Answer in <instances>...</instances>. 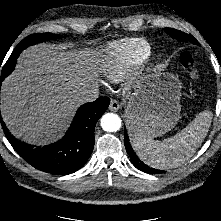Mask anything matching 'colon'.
I'll use <instances>...</instances> for the list:
<instances>
[{"label": "colon", "instance_id": "1", "mask_svg": "<svg viewBox=\"0 0 221 221\" xmlns=\"http://www.w3.org/2000/svg\"><path fill=\"white\" fill-rule=\"evenodd\" d=\"M180 62L182 67L188 72L191 79L196 80L199 78V70L194 56L189 52H183L180 55Z\"/></svg>", "mask_w": 221, "mask_h": 221}]
</instances>
